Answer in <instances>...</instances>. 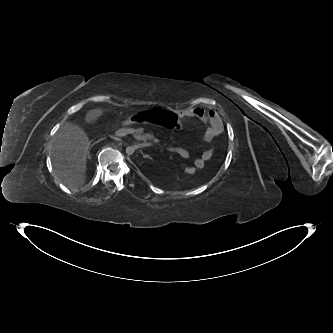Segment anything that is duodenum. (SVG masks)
<instances>
[{"label":"duodenum","mask_w":333,"mask_h":333,"mask_svg":"<svg viewBox=\"0 0 333 333\" xmlns=\"http://www.w3.org/2000/svg\"><path fill=\"white\" fill-rule=\"evenodd\" d=\"M133 130L131 128H124L119 129L118 132L116 133L118 136L123 135V134H127V133H131Z\"/></svg>","instance_id":"obj_1"}]
</instances>
